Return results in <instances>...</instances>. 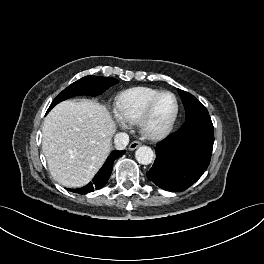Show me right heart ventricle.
<instances>
[{
	"label": "right heart ventricle",
	"mask_w": 264,
	"mask_h": 264,
	"mask_svg": "<svg viewBox=\"0 0 264 264\" xmlns=\"http://www.w3.org/2000/svg\"><path fill=\"white\" fill-rule=\"evenodd\" d=\"M161 91L150 87H134L120 92L115 98L117 116L126 123H136L152 98Z\"/></svg>",
	"instance_id": "e07e8e85"
}]
</instances>
